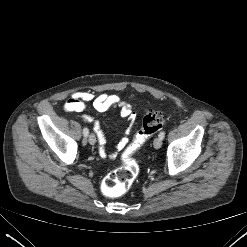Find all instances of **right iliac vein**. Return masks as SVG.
<instances>
[{
	"label": "right iliac vein",
	"instance_id": "right-iliac-vein-1",
	"mask_svg": "<svg viewBox=\"0 0 247 247\" xmlns=\"http://www.w3.org/2000/svg\"><path fill=\"white\" fill-rule=\"evenodd\" d=\"M88 141L91 145H94L96 143V137L94 134H90L89 135V138H88Z\"/></svg>",
	"mask_w": 247,
	"mask_h": 247
}]
</instances>
